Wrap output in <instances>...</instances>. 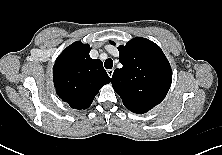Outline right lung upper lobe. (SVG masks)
Instances as JSON below:
<instances>
[{"instance_id":"cb5924a9","label":"right lung upper lobe","mask_w":222,"mask_h":155,"mask_svg":"<svg viewBox=\"0 0 222 155\" xmlns=\"http://www.w3.org/2000/svg\"><path fill=\"white\" fill-rule=\"evenodd\" d=\"M88 44L76 41L56 59L53 81L57 95L72 108H88L95 95L111 79L99 59H91Z\"/></svg>"}]
</instances>
